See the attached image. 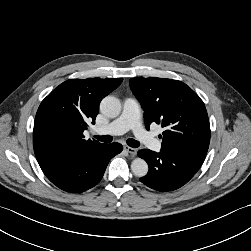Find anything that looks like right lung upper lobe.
Returning a JSON list of instances; mask_svg holds the SVG:
<instances>
[{"mask_svg":"<svg viewBox=\"0 0 251 251\" xmlns=\"http://www.w3.org/2000/svg\"><path fill=\"white\" fill-rule=\"evenodd\" d=\"M122 78L70 79L56 87L40 104L35 117L33 147L39 161L72 157L100 147L85 140L88 122L94 124L101 100Z\"/></svg>","mask_w":251,"mask_h":251,"instance_id":"obj_1","label":"right lung upper lobe"}]
</instances>
